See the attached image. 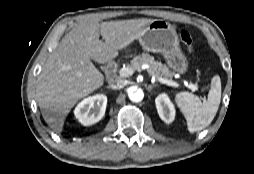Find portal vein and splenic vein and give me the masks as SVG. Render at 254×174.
<instances>
[{
  "instance_id": "1",
  "label": "portal vein and splenic vein",
  "mask_w": 254,
  "mask_h": 174,
  "mask_svg": "<svg viewBox=\"0 0 254 174\" xmlns=\"http://www.w3.org/2000/svg\"><path fill=\"white\" fill-rule=\"evenodd\" d=\"M133 73H134V70L130 67H123L119 70L120 77H125L126 78V77H129V76L133 75ZM158 80L162 84H166L168 86H172V87H179L180 86L177 82L166 79V78L160 77V78H158ZM187 87L189 89H191L192 91L197 89L196 85H194V84H189V85H187Z\"/></svg>"
}]
</instances>
